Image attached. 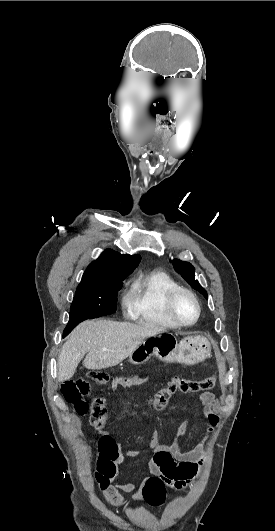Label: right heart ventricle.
<instances>
[{
	"label": "right heart ventricle",
	"mask_w": 275,
	"mask_h": 531,
	"mask_svg": "<svg viewBox=\"0 0 275 531\" xmlns=\"http://www.w3.org/2000/svg\"><path fill=\"white\" fill-rule=\"evenodd\" d=\"M175 286L177 284L173 278L162 272L139 276L133 287L135 297L133 316L152 326L168 329L178 328L168 317L164 307L166 294Z\"/></svg>",
	"instance_id": "right-heart-ventricle-1"
}]
</instances>
